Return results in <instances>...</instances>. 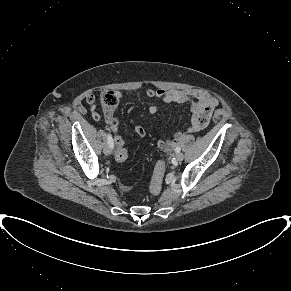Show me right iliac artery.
<instances>
[{
  "instance_id": "right-iliac-artery-1",
  "label": "right iliac artery",
  "mask_w": 291,
  "mask_h": 291,
  "mask_svg": "<svg viewBox=\"0 0 291 291\" xmlns=\"http://www.w3.org/2000/svg\"><path fill=\"white\" fill-rule=\"evenodd\" d=\"M107 141H108V145L113 148L114 147V143H113V138L110 134L107 135Z\"/></svg>"
}]
</instances>
